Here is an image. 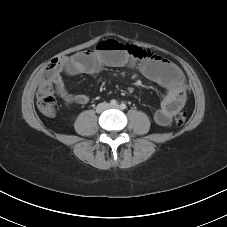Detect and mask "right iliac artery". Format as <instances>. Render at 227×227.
<instances>
[{"mask_svg": "<svg viewBox=\"0 0 227 227\" xmlns=\"http://www.w3.org/2000/svg\"><path fill=\"white\" fill-rule=\"evenodd\" d=\"M110 104H111L112 106H115V105H117V101L113 99V100L110 101Z\"/></svg>", "mask_w": 227, "mask_h": 227, "instance_id": "1", "label": "right iliac artery"}]
</instances>
